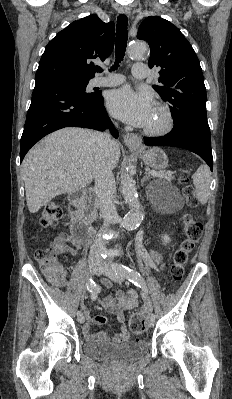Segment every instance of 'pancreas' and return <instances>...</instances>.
<instances>
[{
  "label": "pancreas",
  "instance_id": "cf45deb5",
  "mask_svg": "<svg viewBox=\"0 0 232 399\" xmlns=\"http://www.w3.org/2000/svg\"><path fill=\"white\" fill-rule=\"evenodd\" d=\"M153 178H163V180H175V176H173V172H160L159 176H153ZM99 207L98 200L96 198H93V194L89 196L88 198V205H86V213L88 219L90 221H94L97 215V209Z\"/></svg>",
  "mask_w": 232,
  "mask_h": 399
}]
</instances>
